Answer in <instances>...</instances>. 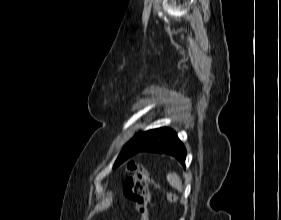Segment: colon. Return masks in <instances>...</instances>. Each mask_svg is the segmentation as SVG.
I'll use <instances>...</instances> for the list:
<instances>
[{"label": "colon", "mask_w": 281, "mask_h": 220, "mask_svg": "<svg viewBox=\"0 0 281 220\" xmlns=\"http://www.w3.org/2000/svg\"><path fill=\"white\" fill-rule=\"evenodd\" d=\"M127 171L132 175L123 183L124 195L131 200L137 212L140 215V220H149V185L155 184L150 173L140 164L130 163L127 166ZM168 201L174 202L176 196L170 192H163Z\"/></svg>", "instance_id": "1"}]
</instances>
